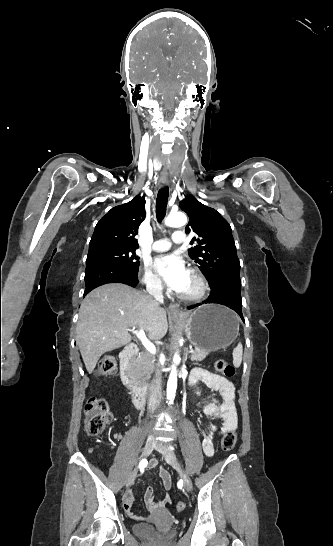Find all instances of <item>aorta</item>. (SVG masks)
Wrapping results in <instances>:
<instances>
[{"mask_svg":"<svg viewBox=\"0 0 333 546\" xmlns=\"http://www.w3.org/2000/svg\"><path fill=\"white\" fill-rule=\"evenodd\" d=\"M165 224L169 227H182L187 224V217L182 212L170 213L165 219ZM174 364L171 367V372L167 382L166 395L169 400V404H173L176 389H177V365L180 362L179 354H175L173 358Z\"/></svg>","mask_w":333,"mask_h":546,"instance_id":"obj_1","label":"aorta"}]
</instances>
